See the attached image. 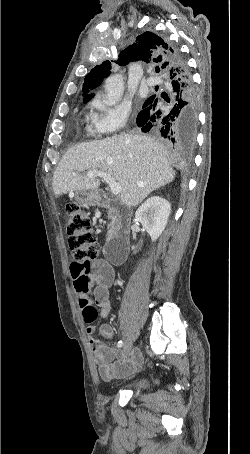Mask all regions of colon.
Instances as JSON below:
<instances>
[{
    "instance_id": "colon-1",
    "label": "colon",
    "mask_w": 250,
    "mask_h": 454,
    "mask_svg": "<svg viewBox=\"0 0 250 454\" xmlns=\"http://www.w3.org/2000/svg\"><path fill=\"white\" fill-rule=\"evenodd\" d=\"M68 244L75 261L87 262L96 258L99 245L87 213L75 203L66 206ZM82 314L87 324H92L98 315L93 305H86Z\"/></svg>"
}]
</instances>
